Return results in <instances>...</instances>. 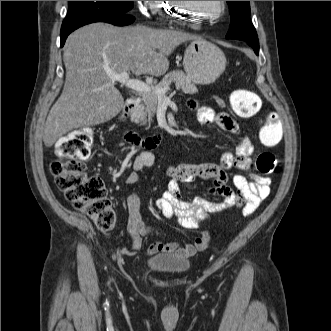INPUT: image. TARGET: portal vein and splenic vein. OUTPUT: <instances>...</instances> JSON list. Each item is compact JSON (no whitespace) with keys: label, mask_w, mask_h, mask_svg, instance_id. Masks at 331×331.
I'll use <instances>...</instances> for the list:
<instances>
[{"label":"portal vein and splenic vein","mask_w":331,"mask_h":331,"mask_svg":"<svg viewBox=\"0 0 331 331\" xmlns=\"http://www.w3.org/2000/svg\"><path fill=\"white\" fill-rule=\"evenodd\" d=\"M109 77L113 82H119L122 85L126 86L127 88L140 92V93H145V92H148L151 90V87L149 84L142 82L138 79H131L127 72H123L120 74H110ZM168 90H169V87L157 88L155 90V93L157 94L159 99H162V98H165V94Z\"/></svg>","instance_id":"obj_1"}]
</instances>
